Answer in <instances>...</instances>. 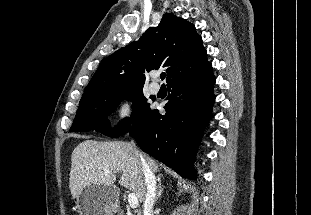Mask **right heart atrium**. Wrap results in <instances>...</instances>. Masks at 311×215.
<instances>
[{
    "label": "right heart atrium",
    "mask_w": 311,
    "mask_h": 215,
    "mask_svg": "<svg viewBox=\"0 0 311 215\" xmlns=\"http://www.w3.org/2000/svg\"><path fill=\"white\" fill-rule=\"evenodd\" d=\"M134 105L130 100H123L118 104L114 111V121L119 125H124L132 119Z\"/></svg>",
    "instance_id": "1"
}]
</instances>
